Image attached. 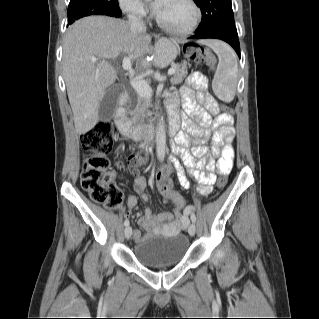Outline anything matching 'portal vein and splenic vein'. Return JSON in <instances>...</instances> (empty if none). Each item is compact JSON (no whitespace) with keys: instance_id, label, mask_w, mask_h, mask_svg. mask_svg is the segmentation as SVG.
<instances>
[{"instance_id":"18ae733b","label":"portal vein and splenic vein","mask_w":319,"mask_h":319,"mask_svg":"<svg viewBox=\"0 0 319 319\" xmlns=\"http://www.w3.org/2000/svg\"><path fill=\"white\" fill-rule=\"evenodd\" d=\"M95 61V59H93ZM123 69L129 72V77L131 80L132 87L143 97H151L152 89L150 86L142 80H135L134 79V70L132 69L131 59L129 57H124L123 59ZM175 73L174 67H171L168 70V75H173Z\"/></svg>"}]
</instances>
